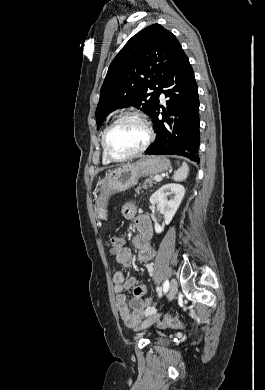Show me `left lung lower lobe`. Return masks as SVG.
Listing matches in <instances>:
<instances>
[{
  "instance_id": "1",
  "label": "left lung lower lobe",
  "mask_w": 265,
  "mask_h": 390,
  "mask_svg": "<svg viewBox=\"0 0 265 390\" xmlns=\"http://www.w3.org/2000/svg\"><path fill=\"white\" fill-rule=\"evenodd\" d=\"M164 88V89H162ZM164 93L170 99L167 110L160 120L159 101L152 116L153 128L157 133L155 142L147 150L148 155H179L199 163V99L198 88L188 57L183 52L177 59L172 71L162 84L158 96ZM175 119H167L169 116ZM174 121L173 133L165 127Z\"/></svg>"
}]
</instances>
